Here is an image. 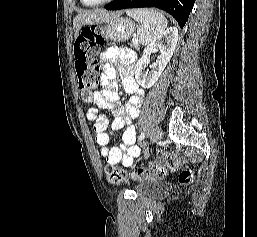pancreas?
Listing matches in <instances>:
<instances>
[{
	"instance_id": "pancreas-1",
	"label": "pancreas",
	"mask_w": 257,
	"mask_h": 237,
	"mask_svg": "<svg viewBox=\"0 0 257 237\" xmlns=\"http://www.w3.org/2000/svg\"><path fill=\"white\" fill-rule=\"evenodd\" d=\"M130 47H134L137 50L140 48L139 44H133V45H130Z\"/></svg>"
}]
</instances>
